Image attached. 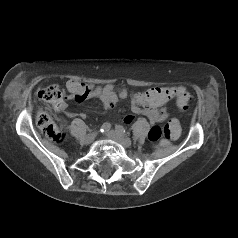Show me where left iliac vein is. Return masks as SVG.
<instances>
[{
  "mask_svg": "<svg viewBox=\"0 0 238 238\" xmlns=\"http://www.w3.org/2000/svg\"><path fill=\"white\" fill-rule=\"evenodd\" d=\"M106 135L116 142L120 143L123 147L127 148L131 146V140L126 138L123 134L120 132L110 130L106 133Z\"/></svg>",
  "mask_w": 238,
  "mask_h": 238,
  "instance_id": "1",
  "label": "left iliac vein"
}]
</instances>
